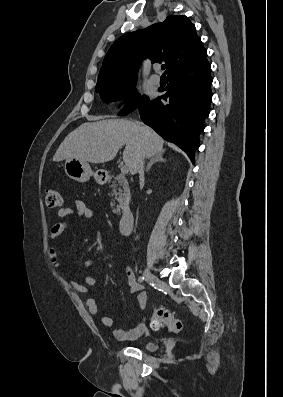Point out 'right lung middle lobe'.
Returning a JSON list of instances; mask_svg holds the SVG:
<instances>
[{"label": "right lung middle lobe", "instance_id": "1", "mask_svg": "<svg viewBox=\"0 0 283 397\" xmlns=\"http://www.w3.org/2000/svg\"><path fill=\"white\" fill-rule=\"evenodd\" d=\"M136 78H124V79H114L110 81H98L96 85V92L100 94L102 100L107 102L109 100H115L121 95L126 97L127 106L121 111L122 115H126L140 105L149 100L147 96H142L136 101H133L134 96H128L129 90H131L135 85Z\"/></svg>", "mask_w": 283, "mask_h": 397}]
</instances>
